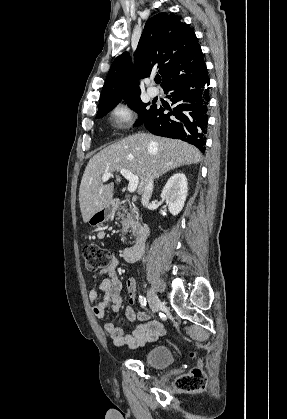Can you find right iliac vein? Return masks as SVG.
I'll list each match as a JSON object with an SVG mask.
<instances>
[{"label": "right iliac vein", "mask_w": 287, "mask_h": 419, "mask_svg": "<svg viewBox=\"0 0 287 419\" xmlns=\"http://www.w3.org/2000/svg\"><path fill=\"white\" fill-rule=\"evenodd\" d=\"M147 297L152 312L156 313L161 306L160 299L151 288L147 289Z\"/></svg>", "instance_id": "1"}]
</instances>
